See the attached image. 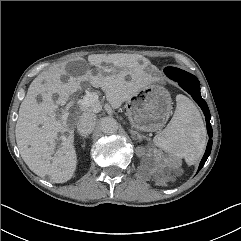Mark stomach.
I'll return each instance as SVG.
<instances>
[{
    "instance_id": "0dacf381",
    "label": "stomach",
    "mask_w": 241,
    "mask_h": 241,
    "mask_svg": "<svg viewBox=\"0 0 241 241\" xmlns=\"http://www.w3.org/2000/svg\"><path fill=\"white\" fill-rule=\"evenodd\" d=\"M126 114L135 129L155 132L167 123L172 109L169 92L158 84H149L126 101Z\"/></svg>"
}]
</instances>
